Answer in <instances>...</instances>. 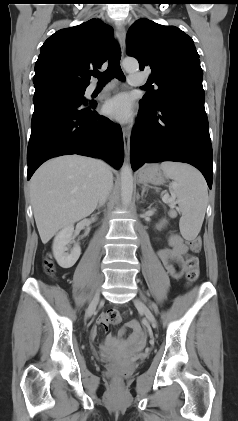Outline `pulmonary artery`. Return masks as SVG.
<instances>
[{
  "instance_id": "1",
  "label": "pulmonary artery",
  "mask_w": 238,
  "mask_h": 421,
  "mask_svg": "<svg viewBox=\"0 0 238 421\" xmlns=\"http://www.w3.org/2000/svg\"><path fill=\"white\" fill-rule=\"evenodd\" d=\"M129 83L131 85H140V84L144 83V78H143V76L140 73H132L129 76ZM111 88H112V85L111 84H108L105 87H103L102 90L103 91H107V90H110ZM97 89H98L97 88V85L95 83H93V84H91L88 87L87 91L89 93H92V92H94Z\"/></svg>"
}]
</instances>
